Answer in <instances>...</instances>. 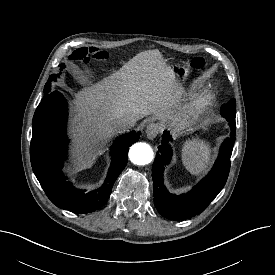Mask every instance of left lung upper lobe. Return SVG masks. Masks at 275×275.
Wrapping results in <instances>:
<instances>
[{
	"instance_id": "left-lung-upper-lobe-1",
	"label": "left lung upper lobe",
	"mask_w": 275,
	"mask_h": 275,
	"mask_svg": "<svg viewBox=\"0 0 275 275\" xmlns=\"http://www.w3.org/2000/svg\"><path fill=\"white\" fill-rule=\"evenodd\" d=\"M221 114L229 122L235 123L236 101L234 99H232L227 104L222 105V107H221Z\"/></svg>"
}]
</instances>
